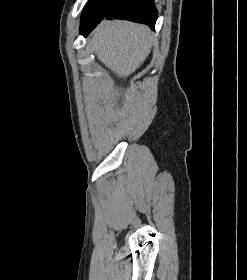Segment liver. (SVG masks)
<instances>
[{
    "label": "liver",
    "mask_w": 247,
    "mask_h": 280,
    "mask_svg": "<svg viewBox=\"0 0 247 280\" xmlns=\"http://www.w3.org/2000/svg\"><path fill=\"white\" fill-rule=\"evenodd\" d=\"M153 33L146 25L124 20H103L95 29L92 49L118 77H128L149 55Z\"/></svg>",
    "instance_id": "6515ba94"
}]
</instances>
